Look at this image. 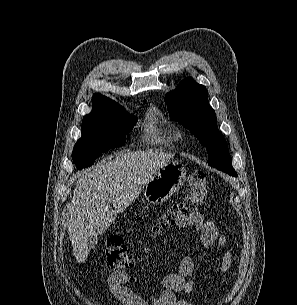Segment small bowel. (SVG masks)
Listing matches in <instances>:
<instances>
[{"mask_svg": "<svg viewBox=\"0 0 297 305\" xmlns=\"http://www.w3.org/2000/svg\"><path fill=\"white\" fill-rule=\"evenodd\" d=\"M179 228L193 227L197 230L205 247L216 246L219 250L227 245V238L220 233L216 225L203 218L200 213L181 215L176 219ZM232 264V254L227 251L222 257L221 271L226 272ZM129 276L124 271H114L109 275L108 287L115 304L120 305H190L185 300L177 298L178 293L193 295L198 283L194 275V262L190 256H185L176 271L166 274L161 279L163 290L158 294L150 293L143 297L129 288Z\"/></svg>", "mask_w": 297, "mask_h": 305, "instance_id": "1", "label": "small bowel"}]
</instances>
